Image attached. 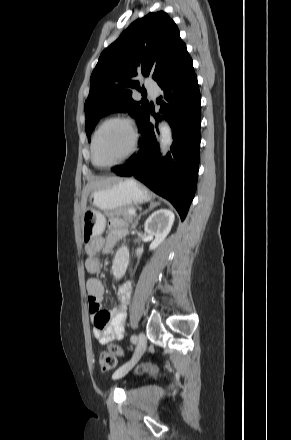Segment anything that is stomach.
<instances>
[{
	"label": "stomach",
	"mask_w": 291,
	"mask_h": 440,
	"mask_svg": "<svg viewBox=\"0 0 291 440\" xmlns=\"http://www.w3.org/2000/svg\"><path fill=\"white\" fill-rule=\"evenodd\" d=\"M148 192L134 179H118L106 187L93 189L88 194L89 207L82 217V238L88 242L105 228V218L100 211L147 202Z\"/></svg>",
	"instance_id": "stomach-1"
}]
</instances>
